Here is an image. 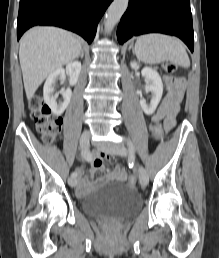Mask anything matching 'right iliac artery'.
<instances>
[{
    "label": "right iliac artery",
    "instance_id": "1",
    "mask_svg": "<svg viewBox=\"0 0 219 258\" xmlns=\"http://www.w3.org/2000/svg\"><path fill=\"white\" fill-rule=\"evenodd\" d=\"M81 156H82L85 160H87V161H90V159H91V155H90L89 151H86V150H84V151L81 152ZM71 176H72V177H76V176H77V173H76V172H73Z\"/></svg>",
    "mask_w": 219,
    "mask_h": 258
}]
</instances>
